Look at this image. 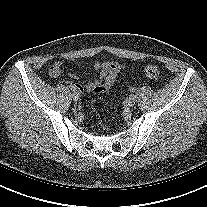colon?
I'll list each match as a JSON object with an SVG mask.
<instances>
[{"instance_id":"obj_1","label":"colon","mask_w":207,"mask_h":207,"mask_svg":"<svg viewBox=\"0 0 207 207\" xmlns=\"http://www.w3.org/2000/svg\"><path fill=\"white\" fill-rule=\"evenodd\" d=\"M145 75L150 79H158L160 76V71L157 66L154 65H145L143 67Z\"/></svg>"}]
</instances>
